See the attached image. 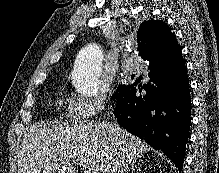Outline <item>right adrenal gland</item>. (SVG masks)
Returning <instances> with one entry per match:
<instances>
[{
	"label": "right adrenal gland",
	"instance_id": "1",
	"mask_svg": "<svg viewBox=\"0 0 219 173\" xmlns=\"http://www.w3.org/2000/svg\"><path fill=\"white\" fill-rule=\"evenodd\" d=\"M136 168H137V165H136L135 163H133V164L131 165V168H128V169L125 171V173H128L130 170L134 171ZM138 170H140V169H138Z\"/></svg>",
	"mask_w": 219,
	"mask_h": 173
}]
</instances>
